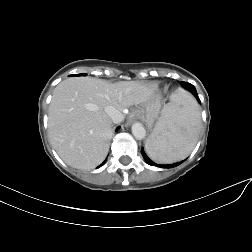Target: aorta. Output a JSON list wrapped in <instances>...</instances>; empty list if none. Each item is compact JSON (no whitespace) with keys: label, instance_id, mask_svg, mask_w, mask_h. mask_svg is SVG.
I'll list each match as a JSON object with an SVG mask.
<instances>
[{"label":"aorta","instance_id":"762f6f07","mask_svg":"<svg viewBox=\"0 0 252 252\" xmlns=\"http://www.w3.org/2000/svg\"><path fill=\"white\" fill-rule=\"evenodd\" d=\"M131 130H132V134L134 135V137H135L136 139L141 140V139H143V138L145 137V135H146V130H145V128H144L143 125H142L141 123H139V122L134 123V124L132 125Z\"/></svg>","mask_w":252,"mask_h":252}]
</instances>
